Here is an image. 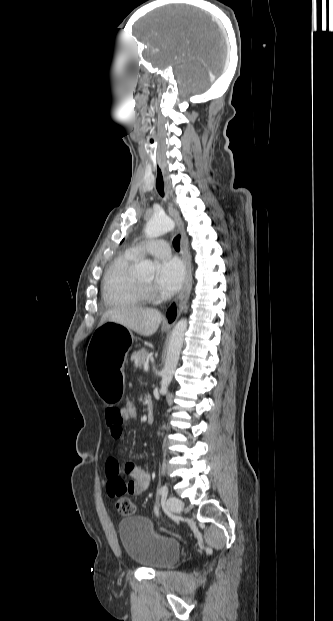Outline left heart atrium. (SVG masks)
Here are the masks:
<instances>
[{"label": "left heart atrium", "instance_id": "39dd6f15", "mask_svg": "<svg viewBox=\"0 0 333 621\" xmlns=\"http://www.w3.org/2000/svg\"><path fill=\"white\" fill-rule=\"evenodd\" d=\"M185 281V268L181 261L172 258L160 262L157 268L155 286L165 293L178 291Z\"/></svg>", "mask_w": 333, "mask_h": 621}]
</instances>
